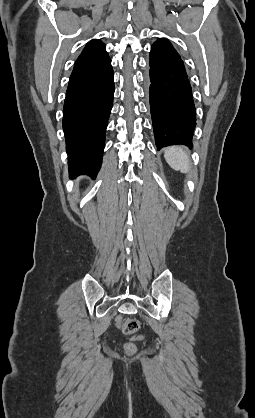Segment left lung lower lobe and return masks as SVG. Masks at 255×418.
<instances>
[{
	"label": "left lung lower lobe",
	"instance_id": "0a47b994",
	"mask_svg": "<svg viewBox=\"0 0 255 418\" xmlns=\"http://www.w3.org/2000/svg\"><path fill=\"white\" fill-rule=\"evenodd\" d=\"M149 99L156 146L192 145L196 110L183 60L168 39L151 46Z\"/></svg>",
	"mask_w": 255,
	"mask_h": 418
}]
</instances>
